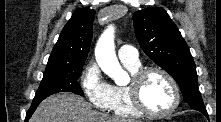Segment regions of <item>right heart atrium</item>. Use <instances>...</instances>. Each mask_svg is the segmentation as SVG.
<instances>
[{"mask_svg": "<svg viewBox=\"0 0 221 122\" xmlns=\"http://www.w3.org/2000/svg\"><path fill=\"white\" fill-rule=\"evenodd\" d=\"M81 87L87 99L96 107L106 109L110 99L111 86L103 80L98 66L88 63L81 73Z\"/></svg>", "mask_w": 221, "mask_h": 122, "instance_id": "d8ad5b80", "label": "right heart atrium"}]
</instances>
